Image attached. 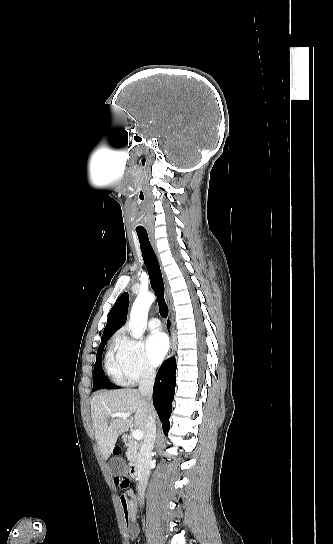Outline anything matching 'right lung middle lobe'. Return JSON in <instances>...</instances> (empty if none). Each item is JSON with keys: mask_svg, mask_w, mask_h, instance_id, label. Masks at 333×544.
Segmentation results:
<instances>
[{"mask_svg": "<svg viewBox=\"0 0 333 544\" xmlns=\"http://www.w3.org/2000/svg\"><path fill=\"white\" fill-rule=\"evenodd\" d=\"M108 339L109 338L102 339L101 343H100V345L98 347V350H97L96 363H95V367H94V378H93V389H92L93 392L96 391V390H99L101 388H106V389L121 388L119 386H116V385L112 384L107 379V377L105 376V374H104V372L102 370L101 357H102L103 349H104L105 344H106Z\"/></svg>", "mask_w": 333, "mask_h": 544, "instance_id": "1", "label": "right lung middle lobe"}]
</instances>
